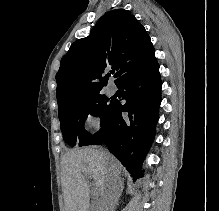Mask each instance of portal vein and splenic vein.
<instances>
[{
	"label": "portal vein and splenic vein",
	"mask_w": 219,
	"mask_h": 211,
	"mask_svg": "<svg viewBox=\"0 0 219 211\" xmlns=\"http://www.w3.org/2000/svg\"><path fill=\"white\" fill-rule=\"evenodd\" d=\"M93 195H95V199H96V197H99L98 193H96V187H94V189H93Z\"/></svg>",
	"instance_id": "portal-vein-and-splenic-vein-1"
}]
</instances>
